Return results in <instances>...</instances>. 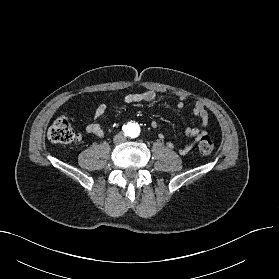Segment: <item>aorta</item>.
I'll return each mask as SVG.
<instances>
[{
  "label": "aorta",
  "mask_w": 279,
  "mask_h": 279,
  "mask_svg": "<svg viewBox=\"0 0 279 279\" xmlns=\"http://www.w3.org/2000/svg\"><path fill=\"white\" fill-rule=\"evenodd\" d=\"M126 127L129 130L130 134H137L138 125H136L135 123H129Z\"/></svg>",
  "instance_id": "762f6f07"
}]
</instances>
